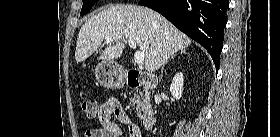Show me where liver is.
Instances as JSON below:
<instances>
[{"mask_svg":"<svg viewBox=\"0 0 280 137\" xmlns=\"http://www.w3.org/2000/svg\"><path fill=\"white\" fill-rule=\"evenodd\" d=\"M112 38L104 50L102 42ZM131 39L144 53L145 69L158 70L168 58L191 44V39L166 18L147 7L136 5L109 6L82 25L77 38L75 60L82 62L99 51V59L119 58L125 40Z\"/></svg>","mask_w":280,"mask_h":137,"instance_id":"1","label":"liver"}]
</instances>
